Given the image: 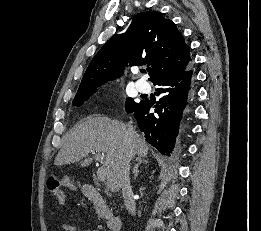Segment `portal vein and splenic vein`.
<instances>
[{
	"mask_svg": "<svg viewBox=\"0 0 261 231\" xmlns=\"http://www.w3.org/2000/svg\"><path fill=\"white\" fill-rule=\"evenodd\" d=\"M95 158H96L97 161H99V162H101V163L103 162V156H102L100 153H97V154L95 155ZM97 178H98V180L101 181V182H104V181H105V179H106V174H105L104 167L98 168Z\"/></svg>",
	"mask_w": 261,
	"mask_h": 231,
	"instance_id": "18ae733b",
	"label": "portal vein and splenic vein"
}]
</instances>
